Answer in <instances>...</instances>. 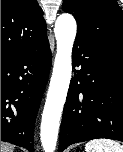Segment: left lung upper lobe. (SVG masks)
<instances>
[{
	"instance_id": "left-lung-upper-lobe-1",
	"label": "left lung upper lobe",
	"mask_w": 123,
	"mask_h": 152,
	"mask_svg": "<svg viewBox=\"0 0 123 152\" xmlns=\"http://www.w3.org/2000/svg\"><path fill=\"white\" fill-rule=\"evenodd\" d=\"M77 21V35L123 54V14L116 0H64Z\"/></svg>"
}]
</instances>
